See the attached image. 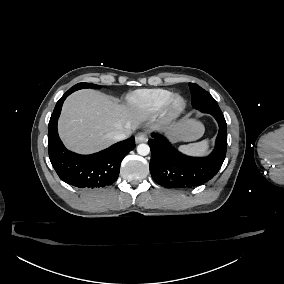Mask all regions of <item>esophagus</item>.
Instances as JSON below:
<instances>
[{"label": "esophagus", "instance_id": "esophagus-1", "mask_svg": "<svg viewBox=\"0 0 284 284\" xmlns=\"http://www.w3.org/2000/svg\"><path fill=\"white\" fill-rule=\"evenodd\" d=\"M147 134L144 132H140L136 135L135 139H136V143H141L147 140Z\"/></svg>", "mask_w": 284, "mask_h": 284}]
</instances>
